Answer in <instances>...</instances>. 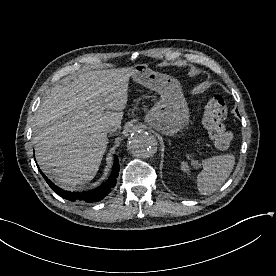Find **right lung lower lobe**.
I'll return each mask as SVG.
<instances>
[{
	"label": "right lung lower lobe",
	"instance_id": "1",
	"mask_svg": "<svg viewBox=\"0 0 276 276\" xmlns=\"http://www.w3.org/2000/svg\"><path fill=\"white\" fill-rule=\"evenodd\" d=\"M118 171H119V163H118V160L115 159L112 175L110 176L109 180L105 184H103L102 186L94 190H90L82 193H79V192L73 193V192L62 190L59 187L55 186L41 171L40 172L44 177V179L46 180V182L48 183V185L59 196L70 201L85 200L86 202H97L102 200L110 192L111 188L115 186L116 177L118 176Z\"/></svg>",
	"mask_w": 276,
	"mask_h": 276
}]
</instances>
